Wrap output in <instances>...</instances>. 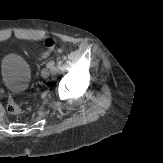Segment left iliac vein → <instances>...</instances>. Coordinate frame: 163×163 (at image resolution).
Segmentation results:
<instances>
[{
    "label": "left iliac vein",
    "mask_w": 163,
    "mask_h": 163,
    "mask_svg": "<svg viewBox=\"0 0 163 163\" xmlns=\"http://www.w3.org/2000/svg\"><path fill=\"white\" fill-rule=\"evenodd\" d=\"M50 73L51 71L48 67L43 68L41 71V75L43 78H48L50 76Z\"/></svg>",
    "instance_id": "4c4485c4"
}]
</instances>
